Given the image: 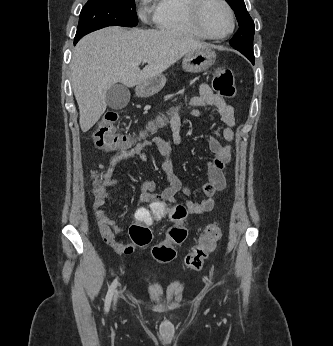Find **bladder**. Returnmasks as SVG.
<instances>
[{"label":"bladder","instance_id":"31cf9c89","mask_svg":"<svg viewBox=\"0 0 333 346\" xmlns=\"http://www.w3.org/2000/svg\"><path fill=\"white\" fill-rule=\"evenodd\" d=\"M145 281H146V282H150V281H151L150 277L147 276V277L145 278Z\"/></svg>","mask_w":333,"mask_h":346}]
</instances>
